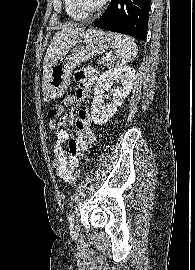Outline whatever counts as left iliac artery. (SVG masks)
I'll return each instance as SVG.
<instances>
[{
  "label": "left iliac artery",
  "mask_w": 195,
  "mask_h": 270,
  "mask_svg": "<svg viewBox=\"0 0 195 270\" xmlns=\"http://www.w3.org/2000/svg\"><path fill=\"white\" fill-rule=\"evenodd\" d=\"M68 220H69V223H70V228L72 229L73 221H74V213L73 212L69 215Z\"/></svg>",
  "instance_id": "1"
}]
</instances>
